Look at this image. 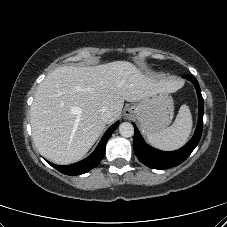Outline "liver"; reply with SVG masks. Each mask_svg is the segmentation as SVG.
<instances>
[{
    "mask_svg": "<svg viewBox=\"0 0 227 227\" xmlns=\"http://www.w3.org/2000/svg\"><path fill=\"white\" fill-rule=\"evenodd\" d=\"M179 87L177 80H158L128 61L58 67L40 83L31 106L34 144L54 163H74L94 145L106 124L120 117L124 101L139 102ZM104 106L112 113L107 122L100 115Z\"/></svg>",
    "mask_w": 227,
    "mask_h": 227,
    "instance_id": "1",
    "label": "liver"
}]
</instances>
